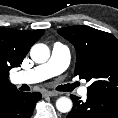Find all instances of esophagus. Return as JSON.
<instances>
[{
  "instance_id": "esophagus-1",
  "label": "esophagus",
  "mask_w": 118,
  "mask_h": 118,
  "mask_svg": "<svg viewBox=\"0 0 118 118\" xmlns=\"http://www.w3.org/2000/svg\"><path fill=\"white\" fill-rule=\"evenodd\" d=\"M44 95L50 96V97H52V96H58V92H55V91H45L44 92Z\"/></svg>"
}]
</instances>
